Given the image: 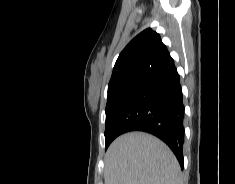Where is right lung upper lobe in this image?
Segmentation results:
<instances>
[{
	"label": "right lung upper lobe",
	"mask_w": 235,
	"mask_h": 184,
	"mask_svg": "<svg viewBox=\"0 0 235 184\" xmlns=\"http://www.w3.org/2000/svg\"><path fill=\"white\" fill-rule=\"evenodd\" d=\"M170 57L158 33L146 29L132 39L120 53L108 85V91L133 78H143Z\"/></svg>",
	"instance_id": "cb5924a9"
}]
</instances>
